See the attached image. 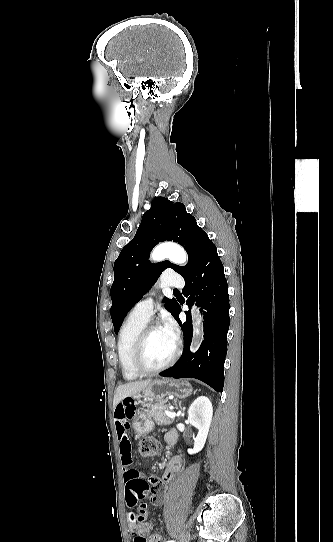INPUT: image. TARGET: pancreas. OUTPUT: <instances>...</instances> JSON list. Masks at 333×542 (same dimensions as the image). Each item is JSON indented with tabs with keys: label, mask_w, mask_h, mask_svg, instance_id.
Here are the masks:
<instances>
[{
	"label": "pancreas",
	"mask_w": 333,
	"mask_h": 542,
	"mask_svg": "<svg viewBox=\"0 0 333 542\" xmlns=\"http://www.w3.org/2000/svg\"><path fill=\"white\" fill-rule=\"evenodd\" d=\"M145 406L148 410L146 414L145 412H141L139 418H150V420H155L156 424H159V426H169V424L174 422V418H167L165 414V410H168L169 406H171V404H168L167 400L158 402V404L149 402V404H145Z\"/></svg>",
	"instance_id": "pancreas-1"
}]
</instances>
